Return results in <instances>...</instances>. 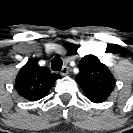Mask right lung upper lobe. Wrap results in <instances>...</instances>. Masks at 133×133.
Here are the masks:
<instances>
[{
  "label": "right lung upper lobe",
  "instance_id": "obj_1",
  "mask_svg": "<svg viewBox=\"0 0 133 133\" xmlns=\"http://www.w3.org/2000/svg\"><path fill=\"white\" fill-rule=\"evenodd\" d=\"M59 78L60 75L52 74L48 68L40 67L37 61L33 60L20 69L15 88L25 99L37 101L47 95Z\"/></svg>",
  "mask_w": 133,
  "mask_h": 133
}]
</instances>
